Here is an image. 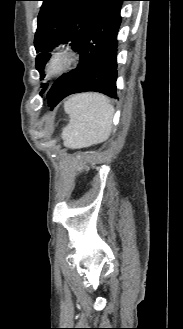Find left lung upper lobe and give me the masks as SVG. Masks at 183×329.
<instances>
[{"label": "left lung upper lobe", "instance_id": "left-lung-upper-lobe-1", "mask_svg": "<svg viewBox=\"0 0 183 329\" xmlns=\"http://www.w3.org/2000/svg\"><path fill=\"white\" fill-rule=\"evenodd\" d=\"M34 46L38 53L36 69L44 79V66L51 52L60 44L78 45L93 22L118 0H41ZM43 84L41 94L47 89Z\"/></svg>", "mask_w": 183, "mask_h": 329}]
</instances>
